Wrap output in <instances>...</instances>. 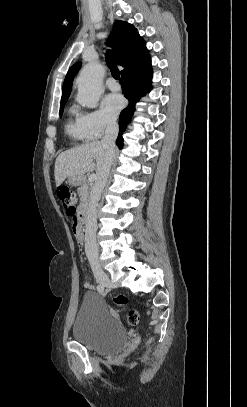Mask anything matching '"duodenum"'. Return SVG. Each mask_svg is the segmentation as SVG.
<instances>
[{"instance_id":"obj_1","label":"duodenum","mask_w":247,"mask_h":407,"mask_svg":"<svg viewBox=\"0 0 247 407\" xmlns=\"http://www.w3.org/2000/svg\"><path fill=\"white\" fill-rule=\"evenodd\" d=\"M87 217H88L87 208L85 206H81L78 210L77 222H82L84 225L87 221Z\"/></svg>"}]
</instances>
